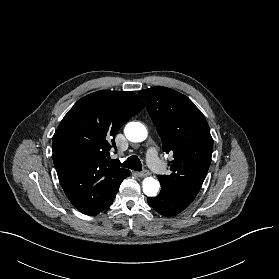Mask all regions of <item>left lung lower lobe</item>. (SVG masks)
<instances>
[{
	"label": "left lung lower lobe",
	"instance_id": "0a47b994",
	"mask_svg": "<svg viewBox=\"0 0 279 279\" xmlns=\"http://www.w3.org/2000/svg\"><path fill=\"white\" fill-rule=\"evenodd\" d=\"M195 196L178 193L161 185V192L157 197H148V204L164 216H173L185 208L194 200Z\"/></svg>",
	"mask_w": 279,
	"mask_h": 279
}]
</instances>
